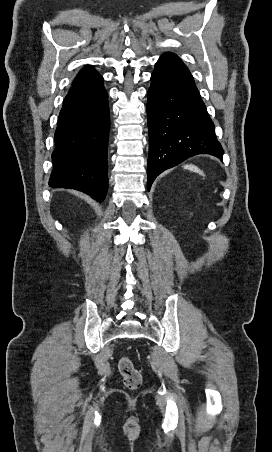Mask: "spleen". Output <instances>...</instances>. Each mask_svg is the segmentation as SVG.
<instances>
[{
	"label": "spleen",
	"mask_w": 272,
	"mask_h": 452,
	"mask_svg": "<svg viewBox=\"0 0 272 452\" xmlns=\"http://www.w3.org/2000/svg\"><path fill=\"white\" fill-rule=\"evenodd\" d=\"M184 168H185V169H188V170H190V171H192V172H197V173H199V174H201V175L204 176L203 171L200 170L198 167L192 165V164L185 165Z\"/></svg>",
	"instance_id": "1"
}]
</instances>
